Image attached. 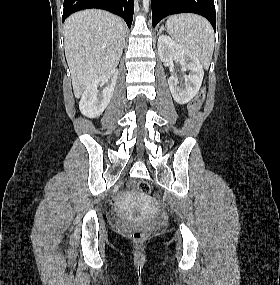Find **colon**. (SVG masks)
Segmentation results:
<instances>
[{
  "instance_id": "5ec220e1",
  "label": "colon",
  "mask_w": 280,
  "mask_h": 285,
  "mask_svg": "<svg viewBox=\"0 0 280 285\" xmlns=\"http://www.w3.org/2000/svg\"><path fill=\"white\" fill-rule=\"evenodd\" d=\"M204 100V92L201 91L194 100L189 104V111L191 113L196 112L200 109L202 102ZM131 186L139 193H146L149 190L148 184L145 182H132ZM149 234V230L136 228L131 233V238L135 241H143Z\"/></svg>"
}]
</instances>
